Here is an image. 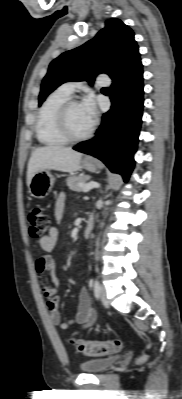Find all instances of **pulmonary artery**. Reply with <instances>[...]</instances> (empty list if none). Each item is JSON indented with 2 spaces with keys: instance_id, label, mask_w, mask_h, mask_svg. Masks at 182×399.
I'll return each instance as SVG.
<instances>
[{
  "instance_id": "e3ab8cb5",
  "label": "pulmonary artery",
  "mask_w": 182,
  "mask_h": 399,
  "mask_svg": "<svg viewBox=\"0 0 182 399\" xmlns=\"http://www.w3.org/2000/svg\"><path fill=\"white\" fill-rule=\"evenodd\" d=\"M108 83H109V80L104 78L102 75H100L98 77V84L105 86V85H108ZM77 86H78V83L70 81V82H66V83L62 84L60 88L71 94Z\"/></svg>"
}]
</instances>
